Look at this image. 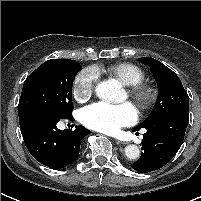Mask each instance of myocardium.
Masks as SVG:
<instances>
[{"label":"myocardium","instance_id":"obj_1","mask_svg":"<svg viewBox=\"0 0 201 201\" xmlns=\"http://www.w3.org/2000/svg\"><path fill=\"white\" fill-rule=\"evenodd\" d=\"M128 93L140 110L148 109L154 100L153 90L142 82L129 86Z\"/></svg>","mask_w":201,"mask_h":201}]
</instances>
